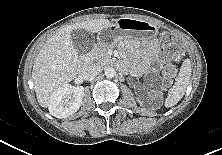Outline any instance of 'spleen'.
<instances>
[{
	"mask_svg": "<svg viewBox=\"0 0 222 155\" xmlns=\"http://www.w3.org/2000/svg\"><path fill=\"white\" fill-rule=\"evenodd\" d=\"M191 72V62L187 59L181 66L175 84L169 90L168 96L165 100L166 107L170 108L182 99L190 82Z\"/></svg>",
	"mask_w": 222,
	"mask_h": 155,
	"instance_id": "1",
	"label": "spleen"
}]
</instances>
